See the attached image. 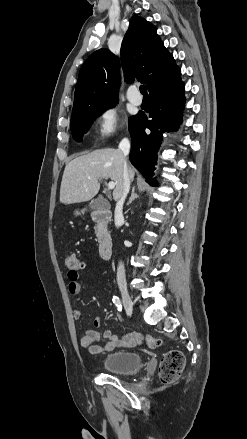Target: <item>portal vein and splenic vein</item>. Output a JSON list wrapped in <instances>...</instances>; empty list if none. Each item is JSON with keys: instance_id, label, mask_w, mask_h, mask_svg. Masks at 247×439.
Returning a JSON list of instances; mask_svg holds the SVG:
<instances>
[{"instance_id": "1", "label": "portal vein and splenic vein", "mask_w": 247, "mask_h": 439, "mask_svg": "<svg viewBox=\"0 0 247 439\" xmlns=\"http://www.w3.org/2000/svg\"><path fill=\"white\" fill-rule=\"evenodd\" d=\"M106 185H107L108 189H114L115 188V183L113 181L109 182Z\"/></svg>"}]
</instances>
